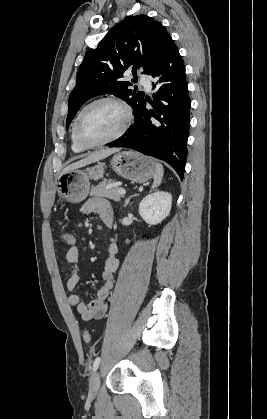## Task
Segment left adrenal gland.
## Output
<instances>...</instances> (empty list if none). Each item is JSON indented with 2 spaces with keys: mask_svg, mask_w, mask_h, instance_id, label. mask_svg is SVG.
<instances>
[{
  "mask_svg": "<svg viewBox=\"0 0 267 419\" xmlns=\"http://www.w3.org/2000/svg\"><path fill=\"white\" fill-rule=\"evenodd\" d=\"M134 196H136V194H135V195H133V196L128 197V198L125 200L124 207H126V206L129 204L130 199H131V198H133Z\"/></svg>",
  "mask_w": 267,
  "mask_h": 419,
  "instance_id": "left-adrenal-gland-1",
  "label": "left adrenal gland"
}]
</instances>
